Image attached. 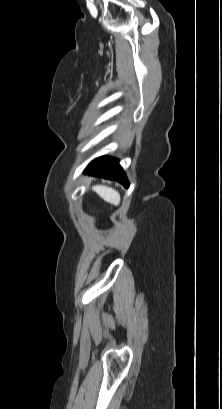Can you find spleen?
<instances>
[{"instance_id": "spleen-1", "label": "spleen", "mask_w": 222, "mask_h": 409, "mask_svg": "<svg viewBox=\"0 0 222 409\" xmlns=\"http://www.w3.org/2000/svg\"><path fill=\"white\" fill-rule=\"evenodd\" d=\"M94 192H96L104 201L118 206L120 203V194L114 190L113 188L96 185L92 188Z\"/></svg>"}]
</instances>
